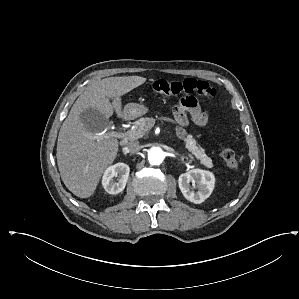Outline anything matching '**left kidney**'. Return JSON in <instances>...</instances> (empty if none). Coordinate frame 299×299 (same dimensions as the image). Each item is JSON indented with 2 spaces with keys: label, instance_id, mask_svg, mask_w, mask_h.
Listing matches in <instances>:
<instances>
[{
  "label": "left kidney",
  "instance_id": "obj_1",
  "mask_svg": "<svg viewBox=\"0 0 299 299\" xmlns=\"http://www.w3.org/2000/svg\"><path fill=\"white\" fill-rule=\"evenodd\" d=\"M190 183H192V186ZM178 184L187 200L200 204L211 195L214 189L215 177L210 171L192 169L179 176ZM196 188L198 190L194 191Z\"/></svg>",
  "mask_w": 299,
  "mask_h": 299
}]
</instances>
